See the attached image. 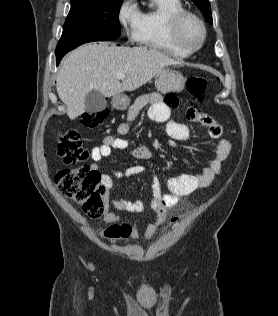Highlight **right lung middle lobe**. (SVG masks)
Instances as JSON below:
<instances>
[{
  "label": "right lung middle lobe",
  "mask_w": 278,
  "mask_h": 316,
  "mask_svg": "<svg viewBox=\"0 0 278 316\" xmlns=\"http://www.w3.org/2000/svg\"><path fill=\"white\" fill-rule=\"evenodd\" d=\"M122 1L71 0L56 55H65L86 42L117 39L120 36L118 15Z\"/></svg>",
  "instance_id": "1"
}]
</instances>
